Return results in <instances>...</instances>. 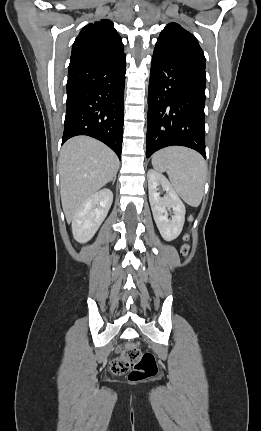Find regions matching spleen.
Returning a JSON list of instances; mask_svg holds the SVG:
<instances>
[{
  "label": "spleen",
  "instance_id": "1",
  "mask_svg": "<svg viewBox=\"0 0 261 431\" xmlns=\"http://www.w3.org/2000/svg\"><path fill=\"white\" fill-rule=\"evenodd\" d=\"M156 171H166L172 186L190 206L201 203L207 166L201 155L183 147H169L156 152L152 157Z\"/></svg>",
  "mask_w": 261,
  "mask_h": 431
}]
</instances>
